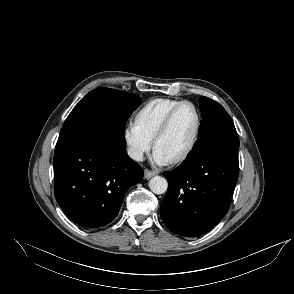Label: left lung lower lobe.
Masks as SVG:
<instances>
[{
    "instance_id": "1",
    "label": "left lung lower lobe",
    "mask_w": 294,
    "mask_h": 294,
    "mask_svg": "<svg viewBox=\"0 0 294 294\" xmlns=\"http://www.w3.org/2000/svg\"><path fill=\"white\" fill-rule=\"evenodd\" d=\"M238 149L236 129L205 135L179 167L164 173L168 190L160 214L173 233L204 234L226 215L239 174Z\"/></svg>"
}]
</instances>
